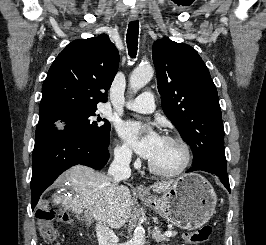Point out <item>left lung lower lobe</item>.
Returning <instances> with one entry per match:
<instances>
[{"mask_svg":"<svg viewBox=\"0 0 266 245\" xmlns=\"http://www.w3.org/2000/svg\"><path fill=\"white\" fill-rule=\"evenodd\" d=\"M197 170H202V171H206V172L215 174L216 176H218L220 178V180L223 183V185L230 192V185H229L227 171H222V170H219V169H214V168H211V167H208V166H192L186 172H192V171H197Z\"/></svg>","mask_w":266,"mask_h":245,"instance_id":"0a47b994","label":"left lung lower lobe"}]
</instances>
